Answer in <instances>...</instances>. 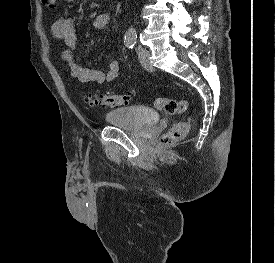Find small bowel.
I'll use <instances>...</instances> for the list:
<instances>
[{"label": "small bowel", "mask_w": 275, "mask_h": 263, "mask_svg": "<svg viewBox=\"0 0 275 263\" xmlns=\"http://www.w3.org/2000/svg\"><path fill=\"white\" fill-rule=\"evenodd\" d=\"M74 2L75 0H67ZM111 15L109 13H101L94 17L93 27L97 30L105 29L109 26ZM52 35L63 41L67 46L61 54V60L70 70L71 77L82 83L103 84L115 80L120 72V64L117 60H111L107 71L103 72L97 68H90L78 64L74 60L73 50L77 46V35L72 18H63L56 20L51 26Z\"/></svg>", "instance_id": "small-bowel-1"}]
</instances>
